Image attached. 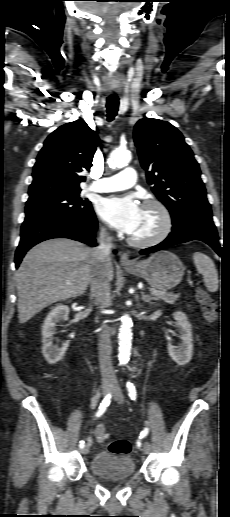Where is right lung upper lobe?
Returning <instances> with one entry per match:
<instances>
[{
  "instance_id": "cb5924a9",
  "label": "right lung upper lobe",
  "mask_w": 230,
  "mask_h": 517,
  "mask_svg": "<svg viewBox=\"0 0 230 517\" xmlns=\"http://www.w3.org/2000/svg\"><path fill=\"white\" fill-rule=\"evenodd\" d=\"M99 138L84 121L60 126L44 142L33 167L30 200L81 190L80 175L90 170Z\"/></svg>"
}]
</instances>
